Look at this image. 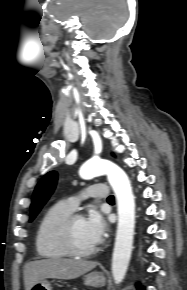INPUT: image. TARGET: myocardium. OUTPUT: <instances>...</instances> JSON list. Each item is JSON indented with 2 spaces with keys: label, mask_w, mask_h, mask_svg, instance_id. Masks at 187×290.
Returning <instances> with one entry per match:
<instances>
[{
  "label": "myocardium",
  "mask_w": 187,
  "mask_h": 290,
  "mask_svg": "<svg viewBox=\"0 0 187 290\" xmlns=\"http://www.w3.org/2000/svg\"><path fill=\"white\" fill-rule=\"evenodd\" d=\"M84 218L80 212H72L67 215L58 226L59 240L69 255L74 257H88L95 254L98 251V246H94L89 249L80 248L74 238V224L78 219Z\"/></svg>",
  "instance_id": "f54148a6"
}]
</instances>
